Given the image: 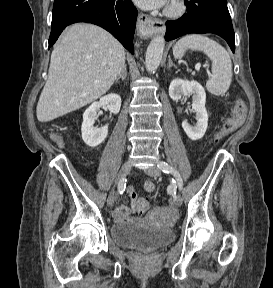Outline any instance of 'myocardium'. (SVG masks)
<instances>
[{"label": "myocardium", "instance_id": "obj_1", "mask_svg": "<svg viewBox=\"0 0 273 288\" xmlns=\"http://www.w3.org/2000/svg\"><path fill=\"white\" fill-rule=\"evenodd\" d=\"M186 11V4L184 0H173L166 9V15L169 17H180Z\"/></svg>", "mask_w": 273, "mask_h": 288}]
</instances>
